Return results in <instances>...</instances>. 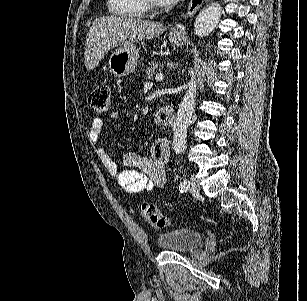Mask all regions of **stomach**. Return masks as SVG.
<instances>
[{
    "instance_id": "0dacf381",
    "label": "stomach",
    "mask_w": 307,
    "mask_h": 301,
    "mask_svg": "<svg viewBox=\"0 0 307 301\" xmlns=\"http://www.w3.org/2000/svg\"><path fill=\"white\" fill-rule=\"evenodd\" d=\"M169 40L172 44L181 46L185 38L182 34H174V32H170ZM139 52L140 48L137 44H134V42L116 48L108 60L110 72H112L114 76H125V74L134 72V70H136Z\"/></svg>"
}]
</instances>
